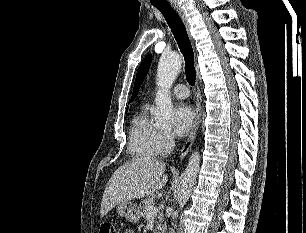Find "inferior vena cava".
Wrapping results in <instances>:
<instances>
[{"label": "inferior vena cava", "mask_w": 306, "mask_h": 233, "mask_svg": "<svg viewBox=\"0 0 306 233\" xmlns=\"http://www.w3.org/2000/svg\"><path fill=\"white\" fill-rule=\"evenodd\" d=\"M169 233H175L173 228H169Z\"/></svg>", "instance_id": "1"}]
</instances>
